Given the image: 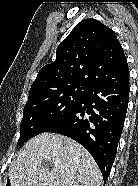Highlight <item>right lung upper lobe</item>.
<instances>
[{"instance_id": "1", "label": "right lung upper lobe", "mask_w": 138, "mask_h": 186, "mask_svg": "<svg viewBox=\"0 0 138 186\" xmlns=\"http://www.w3.org/2000/svg\"><path fill=\"white\" fill-rule=\"evenodd\" d=\"M128 79L126 57L114 31L96 19H84L58 45L56 60L39 71L29 94L69 85H116Z\"/></svg>"}]
</instances>
